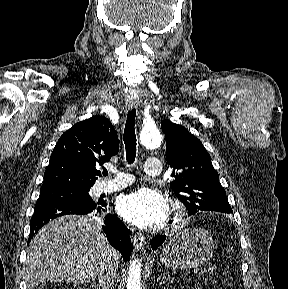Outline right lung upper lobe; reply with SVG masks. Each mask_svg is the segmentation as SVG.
<instances>
[{
  "instance_id": "obj_1",
  "label": "right lung upper lobe",
  "mask_w": 288,
  "mask_h": 289,
  "mask_svg": "<svg viewBox=\"0 0 288 289\" xmlns=\"http://www.w3.org/2000/svg\"><path fill=\"white\" fill-rule=\"evenodd\" d=\"M118 151V137L107 118L78 122L59 138L41 189L91 187L101 176L96 164L109 161Z\"/></svg>"
}]
</instances>
